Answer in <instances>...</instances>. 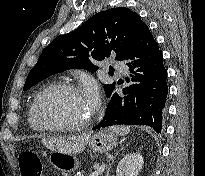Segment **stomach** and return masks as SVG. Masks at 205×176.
<instances>
[{
	"label": "stomach",
	"mask_w": 205,
	"mask_h": 176,
	"mask_svg": "<svg viewBox=\"0 0 205 176\" xmlns=\"http://www.w3.org/2000/svg\"><path fill=\"white\" fill-rule=\"evenodd\" d=\"M117 144L116 135L109 130H101L90 139V149L95 153H105L112 150ZM50 164L57 170L72 173L79 167V161L74 154L53 151L49 156Z\"/></svg>",
	"instance_id": "stomach-1"
}]
</instances>
